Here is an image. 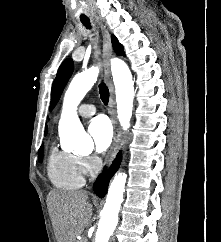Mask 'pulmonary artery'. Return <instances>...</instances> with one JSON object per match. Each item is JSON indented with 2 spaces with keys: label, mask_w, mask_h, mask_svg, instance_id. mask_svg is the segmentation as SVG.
I'll use <instances>...</instances> for the list:
<instances>
[{
  "label": "pulmonary artery",
  "mask_w": 221,
  "mask_h": 242,
  "mask_svg": "<svg viewBox=\"0 0 221 242\" xmlns=\"http://www.w3.org/2000/svg\"><path fill=\"white\" fill-rule=\"evenodd\" d=\"M96 109L93 104L83 103L78 108V114L82 117H89L95 114Z\"/></svg>",
  "instance_id": "1"
}]
</instances>
